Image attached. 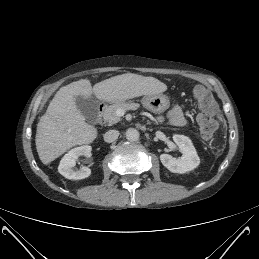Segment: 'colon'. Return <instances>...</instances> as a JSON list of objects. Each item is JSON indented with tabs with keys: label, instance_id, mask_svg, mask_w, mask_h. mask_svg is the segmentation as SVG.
<instances>
[{
	"label": "colon",
	"instance_id": "5ec220e1",
	"mask_svg": "<svg viewBox=\"0 0 259 259\" xmlns=\"http://www.w3.org/2000/svg\"><path fill=\"white\" fill-rule=\"evenodd\" d=\"M193 96L200 105L197 114V126L201 136L205 139L211 138L218 129L217 105L212 94L203 86L193 88Z\"/></svg>",
	"mask_w": 259,
	"mask_h": 259
}]
</instances>
